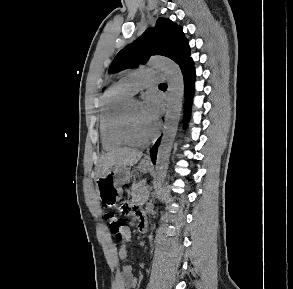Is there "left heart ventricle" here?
<instances>
[{
    "label": "left heart ventricle",
    "instance_id": "b2bd125f",
    "mask_svg": "<svg viewBox=\"0 0 293 289\" xmlns=\"http://www.w3.org/2000/svg\"><path fill=\"white\" fill-rule=\"evenodd\" d=\"M131 124L133 135L137 139L147 138L154 130V123L150 122L144 115L142 104L133 101L130 108Z\"/></svg>",
    "mask_w": 293,
    "mask_h": 289
}]
</instances>
